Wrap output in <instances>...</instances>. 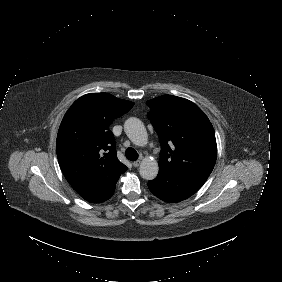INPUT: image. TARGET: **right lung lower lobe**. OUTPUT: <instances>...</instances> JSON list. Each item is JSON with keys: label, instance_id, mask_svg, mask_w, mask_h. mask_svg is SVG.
<instances>
[{"label": "right lung lower lobe", "instance_id": "1", "mask_svg": "<svg viewBox=\"0 0 282 282\" xmlns=\"http://www.w3.org/2000/svg\"><path fill=\"white\" fill-rule=\"evenodd\" d=\"M116 182L113 184V186L110 189L100 193L98 196L94 197L89 202L100 203V202H103L105 200H108L114 194Z\"/></svg>", "mask_w": 282, "mask_h": 282}]
</instances>
